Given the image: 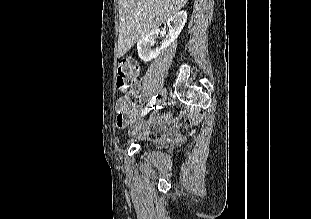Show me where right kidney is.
<instances>
[{
    "instance_id": "ca27d5eb",
    "label": "right kidney",
    "mask_w": 311,
    "mask_h": 219,
    "mask_svg": "<svg viewBox=\"0 0 311 219\" xmlns=\"http://www.w3.org/2000/svg\"><path fill=\"white\" fill-rule=\"evenodd\" d=\"M186 20L187 12L181 11L172 16L167 21V24L169 26V33L162 42L160 49H152V45L159 33L158 29L150 32L145 37L141 38L137 43V50L140 59L144 62H148L151 59L156 58L160 54L161 50L166 49L178 37L186 23Z\"/></svg>"
}]
</instances>
